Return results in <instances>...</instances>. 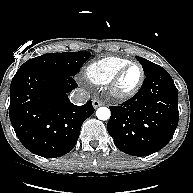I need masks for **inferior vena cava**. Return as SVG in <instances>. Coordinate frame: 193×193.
<instances>
[{
	"label": "inferior vena cava",
	"instance_id": "1",
	"mask_svg": "<svg viewBox=\"0 0 193 193\" xmlns=\"http://www.w3.org/2000/svg\"><path fill=\"white\" fill-rule=\"evenodd\" d=\"M90 99V94L81 88H78L73 91V93L70 95V101L73 104L76 105H82L83 103H86Z\"/></svg>",
	"mask_w": 193,
	"mask_h": 193
}]
</instances>
